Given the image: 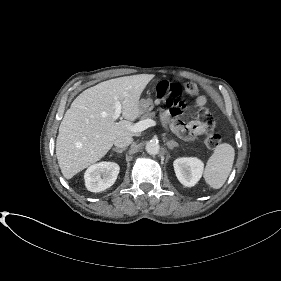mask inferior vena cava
<instances>
[{"instance_id":"inferior-vena-cava-1","label":"inferior vena cava","mask_w":281,"mask_h":281,"mask_svg":"<svg viewBox=\"0 0 281 281\" xmlns=\"http://www.w3.org/2000/svg\"><path fill=\"white\" fill-rule=\"evenodd\" d=\"M132 141L133 139L130 136H121L114 141V145L117 148H126L132 143Z\"/></svg>"}]
</instances>
